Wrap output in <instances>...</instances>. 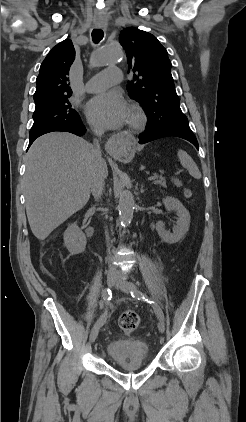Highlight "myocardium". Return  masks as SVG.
<instances>
[{"mask_svg":"<svg viewBox=\"0 0 246 422\" xmlns=\"http://www.w3.org/2000/svg\"><path fill=\"white\" fill-rule=\"evenodd\" d=\"M147 124V116L144 112V110L134 105L131 107L130 110V120H129V128L132 131H140L145 128Z\"/></svg>","mask_w":246,"mask_h":422,"instance_id":"obj_1","label":"myocardium"}]
</instances>
